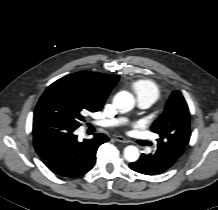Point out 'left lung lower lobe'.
<instances>
[{
    "mask_svg": "<svg viewBox=\"0 0 218 210\" xmlns=\"http://www.w3.org/2000/svg\"><path fill=\"white\" fill-rule=\"evenodd\" d=\"M177 156L167 157V154L157 148L154 153L142 154L136 162L130 163L129 167L141 174L155 175L168 170L179 158Z\"/></svg>",
    "mask_w": 218,
    "mask_h": 210,
    "instance_id": "obj_1",
    "label": "left lung lower lobe"
}]
</instances>
